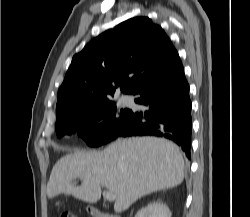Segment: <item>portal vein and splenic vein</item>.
Here are the masks:
<instances>
[{
    "label": "portal vein and splenic vein",
    "instance_id": "portal-vein-and-splenic-vein-1",
    "mask_svg": "<svg viewBox=\"0 0 250 217\" xmlns=\"http://www.w3.org/2000/svg\"><path fill=\"white\" fill-rule=\"evenodd\" d=\"M103 197L108 201H113L116 198L112 190L103 191Z\"/></svg>",
    "mask_w": 250,
    "mask_h": 217
}]
</instances>
